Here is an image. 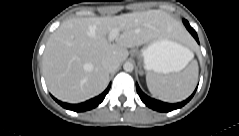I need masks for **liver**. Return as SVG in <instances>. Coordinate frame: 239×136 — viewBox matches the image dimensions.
Masks as SVG:
<instances>
[{"mask_svg": "<svg viewBox=\"0 0 239 136\" xmlns=\"http://www.w3.org/2000/svg\"><path fill=\"white\" fill-rule=\"evenodd\" d=\"M113 28L122 33L108 40ZM182 25L161 10L114 17L73 18L54 31L43 53V74L49 91L59 100L80 103L102 93L109 83L105 59H127L133 48L162 37L179 38Z\"/></svg>", "mask_w": 239, "mask_h": 136, "instance_id": "liver-1", "label": "liver"}]
</instances>
